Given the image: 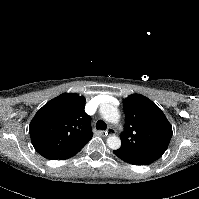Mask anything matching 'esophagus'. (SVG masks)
<instances>
[{"label": "esophagus", "instance_id": "obj_1", "mask_svg": "<svg viewBox=\"0 0 199 199\" xmlns=\"http://www.w3.org/2000/svg\"><path fill=\"white\" fill-rule=\"evenodd\" d=\"M115 129L109 127L104 133L106 136L114 135L115 134Z\"/></svg>", "mask_w": 199, "mask_h": 199}]
</instances>
